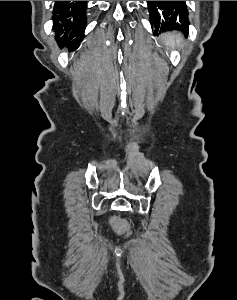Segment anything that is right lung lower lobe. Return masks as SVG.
<instances>
[{"instance_id":"obj_1","label":"right lung lower lobe","mask_w":237,"mask_h":300,"mask_svg":"<svg viewBox=\"0 0 237 300\" xmlns=\"http://www.w3.org/2000/svg\"><path fill=\"white\" fill-rule=\"evenodd\" d=\"M87 1H56L53 9L55 39L77 49L84 38Z\"/></svg>"}]
</instances>
